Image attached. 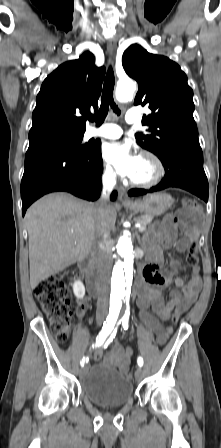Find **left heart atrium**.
I'll list each match as a JSON object with an SVG mask.
<instances>
[{
	"label": "left heart atrium",
	"mask_w": 221,
	"mask_h": 448,
	"mask_svg": "<svg viewBox=\"0 0 221 448\" xmlns=\"http://www.w3.org/2000/svg\"><path fill=\"white\" fill-rule=\"evenodd\" d=\"M103 156L121 175L129 178L134 177L140 166L141 157L126 143L114 142L106 145Z\"/></svg>",
	"instance_id": "left-heart-atrium-1"
}]
</instances>
